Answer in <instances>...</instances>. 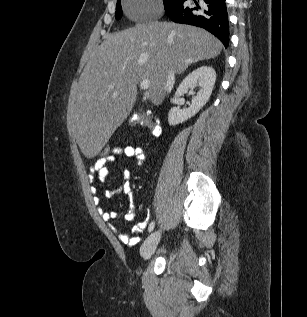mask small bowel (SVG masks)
<instances>
[{
    "label": "small bowel",
    "mask_w": 307,
    "mask_h": 317,
    "mask_svg": "<svg viewBox=\"0 0 307 317\" xmlns=\"http://www.w3.org/2000/svg\"><path fill=\"white\" fill-rule=\"evenodd\" d=\"M125 156L128 158H134L137 165L141 166L145 160V154L142 148L134 145L119 146L116 149L115 156L109 161L96 160L93 164V175L96 176L100 181L105 180V178L111 173L112 165L116 161V156ZM120 190L124 192L129 199V210L124 215V220L130 222L134 219V203H133V193L131 186V173L125 171L123 175V182L121 184ZM115 193L114 190H109L106 192V196L110 197ZM95 203H99V198L95 197ZM101 216L105 221H110L118 218L119 214L115 211L106 212L101 211ZM146 226V222H140L133 227V233L136 234ZM132 233L120 232L118 234L119 239L126 245L133 246L138 242V239Z\"/></svg>",
    "instance_id": "small-bowel-1"
}]
</instances>
